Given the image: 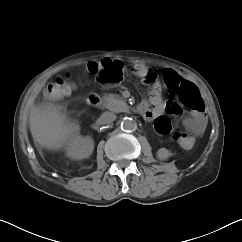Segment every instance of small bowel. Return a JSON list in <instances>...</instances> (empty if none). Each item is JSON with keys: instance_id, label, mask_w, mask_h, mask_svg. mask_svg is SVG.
Listing matches in <instances>:
<instances>
[{"instance_id": "obj_1", "label": "small bowel", "mask_w": 242, "mask_h": 242, "mask_svg": "<svg viewBox=\"0 0 242 242\" xmlns=\"http://www.w3.org/2000/svg\"><path fill=\"white\" fill-rule=\"evenodd\" d=\"M107 61L112 62L111 60H107ZM113 62H116L121 68H123L122 64L119 61H113ZM134 70L139 71L140 72L139 75H143L148 71L147 68L139 64L134 66ZM167 72H172L175 76L182 79V77L173 70H166L165 73ZM145 106H148V105H145ZM162 109H165L167 113L171 117H173L177 122H179V120L182 118V110L177 103L170 102L164 105L159 98L156 99L155 104L152 107L148 106L146 108L145 112L143 113V116L146 119H151L158 111ZM183 124L186 126L189 133L178 132L176 139L184 150H188L193 146V143H194L193 134H198L203 130L205 126V117L201 113H195L183 118Z\"/></svg>"}]
</instances>
